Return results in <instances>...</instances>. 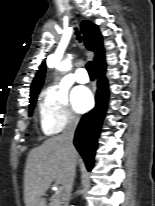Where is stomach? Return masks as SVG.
I'll list each match as a JSON object with an SVG mask.
<instances>
[{
    "instance_id": "0dacf381",
    "label": "stomach",
    "mask_w": 155,
    "mask_h": 206,
    "mask_svg": "<svg viewBox=\"0 0 155 206\" xmlns=\"http://www.w3.org/2000/svg\"><path fill=\"white\" fill-rule=\"evenodd\" d=\"M36 206H46L45 199L40 198L39 201L37 202Z\"/></svg>"
}]
</instances>
